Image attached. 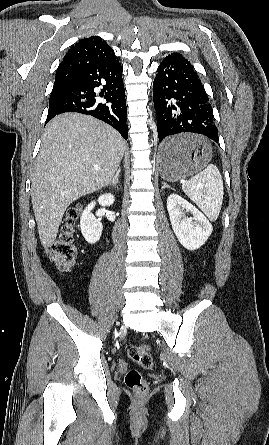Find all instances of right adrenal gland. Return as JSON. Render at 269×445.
<instances>
[{
	"label": "right adrenal gland",
	"mask_w": 269,
	"mask_h": 445,
	"mask_svg": "<svg viewBox=\"0 0 269 445\" xmlns=\"http://www.w3.org/2000/svg\"><path fill=\"white\" fill-rule=\"evenodd\" d=\"M119 177H120V168L117 170L114 178L106 186L116 187L119 184Z\"/></svg>",
	"instance_id": "right-adrenal-gland-1"
}]
</instances>
